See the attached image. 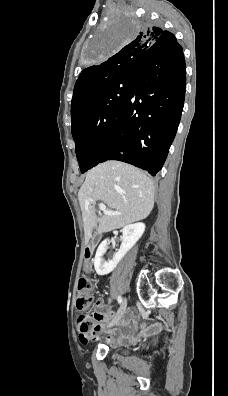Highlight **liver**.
I'll use <instances>...</instances> for the list:
<instances>
[{
	"label": "liver",
	"instance_id": "6515ba94",
	"mask_svg": "<svg viewBox=\"0 0 228 396\" xmlns=\"http://www.w3.org/2000/svg\"><path fill=\"white\" fill-rule=\"evenodd\" d=\"M78 200L88 243L93 234L110 232L147 218L154 206V186L138 168L124 162L107 161L88 171ZM97 201H103L107 210L121 215L98 217Z\"/></svg>",
	"mask_w": 228,
	"mask_h": 396
}]
</instances>
